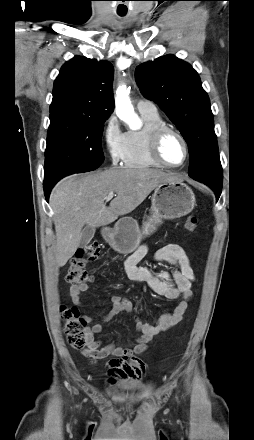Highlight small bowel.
<instances>
[{"label": "small bowel", "mask_w": 254, "mask_h": 440, "mask_svg": "<svg viewBox=\"0 0 254 440\" xmlns=\"http://www.w3.org/2000/svg\"><path fill=\"white\" fill-rule=\"evenodd\" d=\"M147 252L148 246L143 244L125 260L124 272L126 276L132 281L147 283L155 294L175 300L176 303L173 309L161 315L155 324L145 323L135 317L136 328L140 332V336L132 348L115 346L113 343L103 344L101 340L96 339V335L103 330L100 323H95L87 329V344L82 350V354L92 359L114 357L109 361V373L112 378L141 379L146 369L144 362L136 357L129 362L126 359L146 351L148 344L157 334L178 324L192 298L191 285L195 280V273L183 248L177 244H168L155 252L156 261L170 263L177 267L172 271H160L151 266L140 265ZM87 288L88 285L85 283L72 285L69 289V297L77 309L82 307L81 294ZM111 303V310L103 317V321H108L117 314L134 311V304L129 299L113 296ZM87 319L91 320L89 317Z\"/></svg>", "instance_id": "c3829d8e"}]
</instances>
